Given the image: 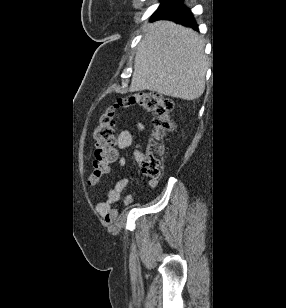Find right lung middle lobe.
<instances>
[{
	"mask_svg": "<svg viewBox=\"0 0 286 308\" xmlns=\"http://www.w3.org/2000/svg\"><path fill=\"white\" fill-rule=\"evenodd\" d=\"M173 0H161V4L159 6L158 10H161L163 8H165L167 5H169ZM157 10V11H158Z\"/></svg>",
	"mask_w": 286,
	"mask_h": 308,
	"instance_id": "right-lung-middle-lobe-1",
	"label": "right lung middle lobe"
}]
</instances>
